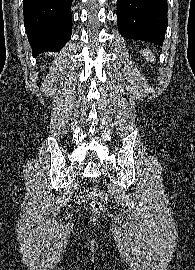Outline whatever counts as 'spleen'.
<instances>
[{
  "label": "spleen",
  "instance_id": "3e777b00",
  "mask_svg": "<svg viewBox=\"0 0 195 270\" xmlns=\"http://www.w3.org/2000/svg\"><path fill=\"white\" fill-rule=\"evenodd\" d=\"M143 55L147 60L154 61V56L149 50H143Z\"/></svg>",
  "mask_w": 195,
  "mask_h": 270
}]
</instances>
